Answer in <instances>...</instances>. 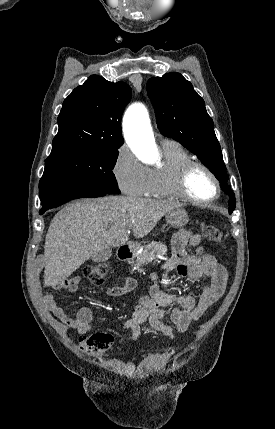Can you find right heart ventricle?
Instances as JSON below:
<instances>
[{"instance_id": "obj_1", "label": "right heart ventricle", "mask_w": 275, "mask_h": 429, "mask_svg": "<svg viewBox=\"0 0 275 429\" xmlns=\"http://www.w3.org/2000/svg\"><path fill=\"white\" fill-rule=\"evenodd\" d=\"M164 161L150 169V185L146 196L159 199L180 198L174 189L177 170L185 162L192 160L190 154L178 143H162Z\"/></svg>"}]
</instances>
